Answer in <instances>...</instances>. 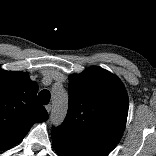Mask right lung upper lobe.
<instances>
[{
	"label": "right lung upper lobe",
	"mask_w": 156,
	"mask_h": 156,
	"mask_svg": "<svg viewBox=\"0 0 156 156\" xmlns=\"http://www.w3.org/2000/svg\"><path fill=\"white\" fill-rule=\"evenodd\" d=\"M38 85L28 73L0 68V150L20 142L34 123L48 119L36 100Z\"/></svg>",
	"instance_id": "1"
}]
</instances>
